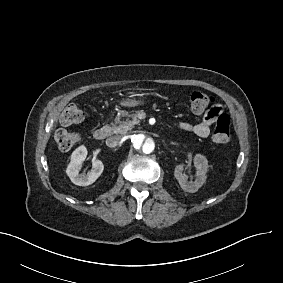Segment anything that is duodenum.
<instances>
[{"label":"duodenum","instance_id":"duodenum-1","mask_svg":"<svg viewBox=\"0 0 283 283\" xmlns=\"http://www.w3.org/2000/svg\"><path fill=\"white\" fill-rule=\"evenodd\" d=\"M108 135H109V128L107 126L99 127L93 133L94 138L99 141L106 139Z\"/></svg>","mask_w":283,"mask_h":283}]
</instances>
